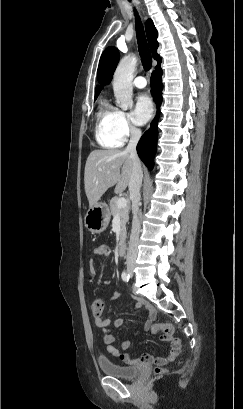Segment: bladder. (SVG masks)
Segmentation results:
<instances>
[{
  "label": "bladder",
  "mask_w": 243,
  "mask_h": 409,
  "mask_svg": "<svg viewBox=\"0 0 243 409\" xmlns=\"http://www.w3.org/2000/svg\"><path fill=\"white\" fill-rule=\"evenodd\" d=\"M97 363L104 374L119 379H132L141 373L138 366H123L111 360H98Z\"/></svg>",
  "instance_id": "obj_1"
}]
</instances>
